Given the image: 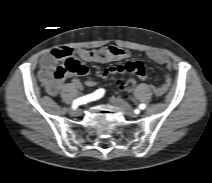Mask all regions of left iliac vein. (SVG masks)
<instances>
[{
  "label": "left iliac vein",
  "mask_w": 212,
  "mask_h": 183,
  "mask_svg": "<svg viewBox=\"0 0 212 183\" xmlns=\"http://www.w3.org/2000/svg\"><path fill=\"white\" fill-rule=\"evenodd\" d=\"M110 102L117 106L118 108H120L121 110H123L125 112L126 115L130 116V117H135L136 113L131 109V107L122 99L120 98H115V97H111L110 98Z\"/></svg>",
  "instance_id": "4c4485c4"
}]
</instances>
